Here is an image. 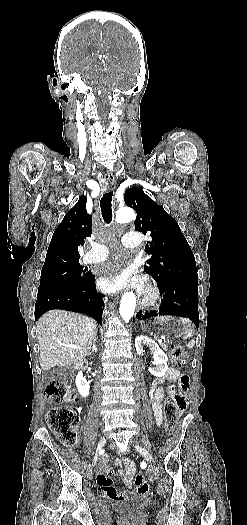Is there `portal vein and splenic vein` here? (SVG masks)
Masks as SVG:
<instances>
[{"label":"portal vein and splenic vein","mask_w":247,"mask_h":525,"mask_svg":"<svg viewBox=\"0 0 247 525\" xmlns=\"http://www.w3.org/2000/svg\"><path fill=\"white\" fill-rule=\"evenodd\" d=\"M162 343V340H159ZM61 346H67V348L82 349L81 345H74V343H61Z\"/></svg>","instance_id":"portal-vein-and-splenic-vein-1"}]
</instances>
